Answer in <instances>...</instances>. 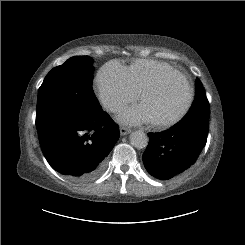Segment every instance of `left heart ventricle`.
<instances>
[{"instance_id":"obj_1","label":"left heart ventricle","mask_w":245,"mask_h":245,"mask_svg":"<svg viewBox=\"0 0 245 245\" xmlns=\"http://www.w3.org/2000/svg\"><path fill=\"white\" fill-rule=\"evenodd\" d=\"M189 90L179 76L166 78L160 89L142 99L141 104L151 121L169 119L178 114L187 104Z\"/></svg>"}]
</instances>
